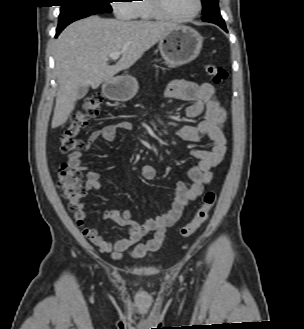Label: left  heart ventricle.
<instances>
[{"mask_svg": "<svg viewBox=\"0 0 304 329\" xmlns=\"http://www.w3.org/2000/svg\"><path fill=\"white\" fill-rule=\"evenodd\" d=\"M166 10L176 16H186L192 14L196 7V0H163Z\"/></svg>", "mask_w": 304, "mask_h": 329, "instance_id": "b2bd125f", "label": "left heart ventricle"}]
</instances>
